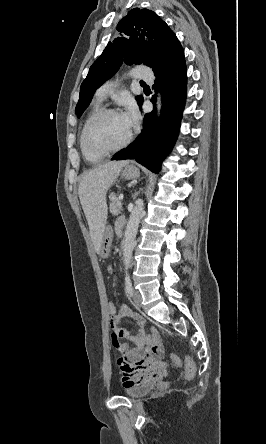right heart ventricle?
Segmentation results:
<instances>
[{"label":"right heart ventricle","instance_id":"e07e8e85","mask_svg":"<svg viewBox=\"0 0 266 444\" xmlns=\"http://www.w3.org/2000/svg\"><path fill=\"white\" fill-rule=\"evenodd\" d=\"M101 109H102L101 108V102L98 99V100L95 101V103L93 104V106L90 109L89 113L87 114V116L85 118V121L83 123L82 129H81L80 137H79V143H80L81 151H82L84 157L87 160H91V161L101 160L104 156L92 154V153L88 152L85 149L84 144H83V132H84V129H85L87 123L89 122V120Z\"/></svg>","mask_w":266,"mask_h":444}]
</instances>
